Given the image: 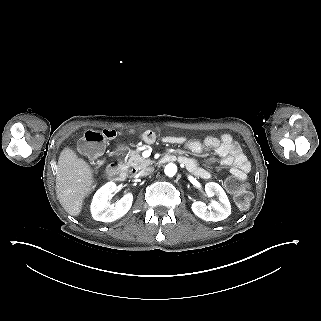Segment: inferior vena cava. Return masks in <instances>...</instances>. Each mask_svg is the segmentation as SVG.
Wrapping results in <instances>:
<instances>
[{
	"instance_id": "inferior-vena-cava-1",
	"label": "inferior vena cava",
	"mask_w": 321,
	"mask_h": 321,
	"mask_svg": "<svg viewBox=\"0 0 321 321\" xmlns=\"http://www.w3.org/2000/svg\"><path fill=\"white\" fill-rule=\"evenodd\" d=\"M154 171V167H145L140 172V176H148Z\"/></svg>"
}]
</instances>
